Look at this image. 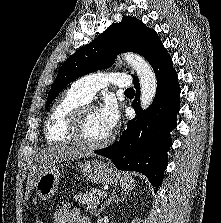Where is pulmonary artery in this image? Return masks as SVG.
<instances>
[{"instance_id": "1", "label": "pulmonary artery", "mask_w": 221, "mask_h": 223, "mask_svg": "<svg viewBox=\"0 0 221 223\" xmlns=\"http://www.w3.org/2000/svg\"><path fill=\"white\" fill-rule=\"evenodd\" d=\"M109 84L130 88L132 82L127 74L120 71L98 72L76 80L71 85V89L87 102L92 99L98 90Z\"/></svg>"}]
</instances>
